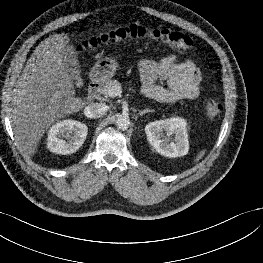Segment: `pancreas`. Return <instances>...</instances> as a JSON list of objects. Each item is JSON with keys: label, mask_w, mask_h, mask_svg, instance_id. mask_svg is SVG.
I'll return each mask as SVG.
<instances>
[{"label": "pancreas", "mask_w": 263, "mask_h": 263, "mask_svg": "<svg viewBox=\"0 0 263 263\" xmlns=\"http://www.w3.org/2000/svg\"><path fill=\"white\" fill-rule=\"evenodd\" d=\"M120 87L121 84L117 80L107 79L105 80L104 84L100 88V94L103 95L105 98L113 97L108 94L109 90L113 87Z\"/></svg>", "instance_id": "1"}]
</instances>
